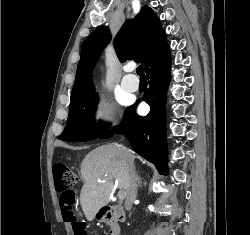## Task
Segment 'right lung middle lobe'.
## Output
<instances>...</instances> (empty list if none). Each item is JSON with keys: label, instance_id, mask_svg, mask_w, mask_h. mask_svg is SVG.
<instances>
[{"label": "right lung middle lobe", "instance_id": "1", "mask_svg": "<svg viewBox=\"0 0 250 235\" xmlns=\"http://www.w3.org/2000/svg\"><path fill=\"white\" fill-rule=\"evenodd\" d=\"M98 100L94 90L72 100L66 128L58 138L70 142H84L99 138L109 125L95 122L94 114Z\"/></svg>", "mask_w": 250, "mask_h": 235}]
</instances>
